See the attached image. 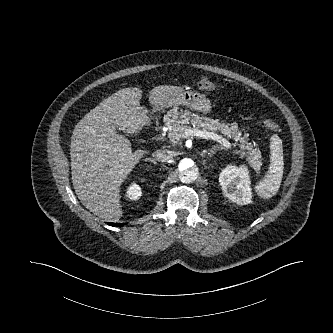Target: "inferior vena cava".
I'll return each mask as SVG.
<instances>
[{"mask_svg": "<svg viewBox=\"0 0 333 333\" xmlns=\"http://www.w3.org/2000/svg\"><path fill=\"white\" fill-rule=\"evenodd\" d=\"M154 160L159 162L167 163L173 159L174 153L169 150H157L153 153Z\"/></svg>", "mask_w": 333, "mask_h": 333, "instance_id": "inferior-vena-cava-1", "label": "inferior vena cava"}]
</instances>
